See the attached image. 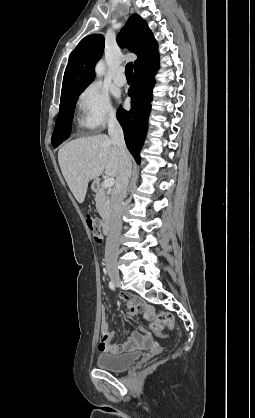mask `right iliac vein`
<instances>
[{
  "mask_svg": "<svg viewBox=\"0 0 255 418\" xmlns=\"http://www.w3.org/2000/svg\"><path fill=\"white\" fill-rule=\"evenodd\" d=\"M108 274L112 282H114L117 285L120 283L119 272L115 267H110L108 269Z\"/></svg>",
  "mask_w": 255,
  "mask_h": 418,
  "instance_id": "1",
  "label": "right iliac vein"
}]
</instances>
